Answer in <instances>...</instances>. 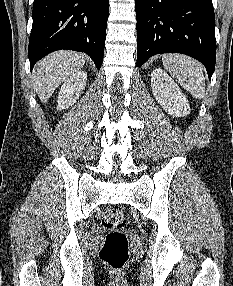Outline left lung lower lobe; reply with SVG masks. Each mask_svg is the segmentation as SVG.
I'll use <instances>...</instances> for the list:
<instances>
[{"label":"left lung lower lobe","instance_id":"0a47b994","mask_svg":"<svg viewBox=\"0 0 233 286\" xmlns=\"http://www.w3.org/2000/svg\"><path fill=\"white\" fill-rule=\"evenodd\" d=\"M137 67L160 53L189 55L215 69V15L212 0H135Z\"/></svg>","mask_w":233,"mask_h":286}]
</instances>
